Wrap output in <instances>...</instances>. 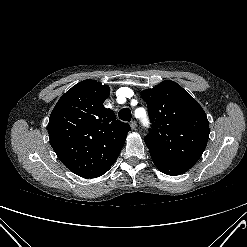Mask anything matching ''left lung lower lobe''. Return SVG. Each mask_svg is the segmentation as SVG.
Here are the masks:
<instances>
[{"mask_svg": "<svg viewBox=\"0 0 247 247\" xmlns=\"http://www.w3.org/2000/svg\"><path fill=\"white\" fill-rule=\"evenodd\" d=\"M156 167L163 173L171 176L180 175L188 171L191 167L187 165L177 164L160 157L151 156Z\"/></svg>", "mask_w": 247, "mask_h": 247, "instance_id": "left-lung-lower-lobe-1", "label": "left lung lower lobe"}]
</instances>
